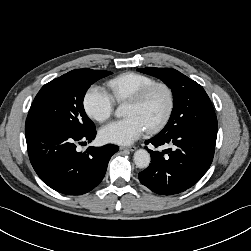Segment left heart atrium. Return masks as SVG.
<instances>
[{
    "label": "left heart atrium",
    "mask_w": 251,
    "mask_h": 251,
    "mask_svg": "<svg viewBox=\"0 0 251 251\" xmlns=\"http://www.w3.org/2000/svg\"><path fill=\"white\" fill-rule=\"evenodd\" d=\"M147 130L145 124L136 116L115 120L99 131L103 142L119 145H129L140 138Z\"/></svg>",
    "instance_id": "obj_1"
}]
</instances>
